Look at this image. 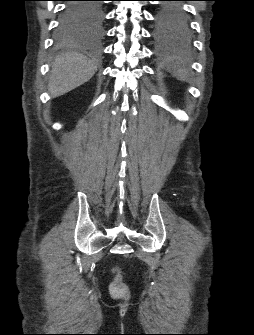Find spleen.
I'll return each instance as SVG.
<instances>
[{"instance_id":"spleen-1","label":"spleen","mask_w":254,"mask_h":335,"mask_svg":"<svg viewBox=\"0 0 254 335\" xmlns=\"http://www.w3.org/2000/svg\"><path fill=\"white\" fill-rule=\"evenodd\" d=\"M164 65L178 80L185 81L187 79L188 71L184 67H180L174 57L167 59Z\"/></svg>"}]
</instances>
